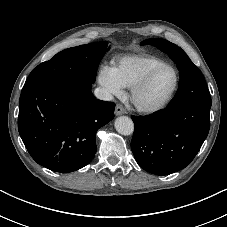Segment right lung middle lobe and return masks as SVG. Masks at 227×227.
I'll return each mask as SVG.
<instances>
[{"label":"right lung middle lobe","mask_w":227,"mask_h":227,"mask_svg":"<svg viewBox=\"0 0 227 227\" xmlns=\"http://www.w3.org/2000/svg\"><path fill=\"white\" fill-rule=\"evenodd\" d=\"M106 47L107 42L102 41L68 48L57 53L49 61L41 63L32 70L22 92L42 84L67 80L92 84Z\"/></svg>","instance_id":"right-lung-middle-lobe-1"}]
</instances>
